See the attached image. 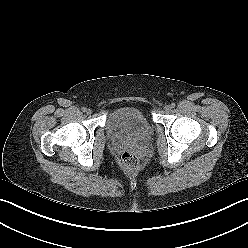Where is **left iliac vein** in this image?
<instances>
[{
	"label": "left iliac vein",
	"mask_w": 248,
	"mask_h": 248,
	"mask_svg": "<svg viewBox=\"0 0 248 248\" xmlns=\"http://www.w3.org/2000/svg\"><path fill=\"white\" fill-rule=\"evenodd\" d=\"M164 109H165V111H167V112H169V111H171V105H166L165 107H164Z\"/></svg>",
	"instance_id": "4c4485c4"
}]
</instances>
